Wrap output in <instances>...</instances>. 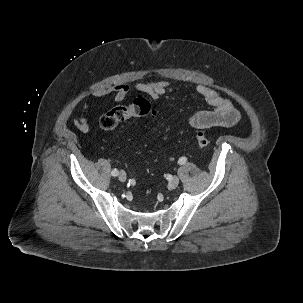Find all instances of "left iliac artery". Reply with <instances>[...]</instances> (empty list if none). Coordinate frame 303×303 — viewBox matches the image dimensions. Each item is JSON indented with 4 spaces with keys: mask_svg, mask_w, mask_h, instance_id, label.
I'll return each mask as SVG.
<instances>
[{
    "mask_svg": "<svg viewBox=\"0 0 303 303\" xmlns=\"http://www.w3.org/2000/svg\"><path fill=\"white\" fill-rule=\"evenodd\" d=\"M186 161H187V158H186V157H181V158L178 160V163H179L180 165H183V164L186 163Z\"/></svg>",
    "mask_w": 303,
    "mask_h": 303,
    "instance_id": "44dca946",
    "label": "left iliac artery"
}]
</instances>
